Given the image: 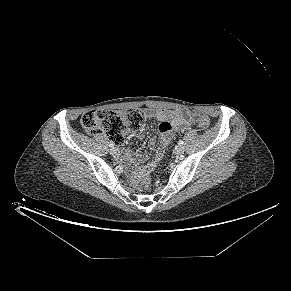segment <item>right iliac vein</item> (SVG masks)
I'll use <instances>...</instances> for the list:
<instances>
[{"label": "right iliac vein", "mask_w": 291, "mask_h": 291, "mask_svg": "<svg viewBox=\"0 0 291 291\" xmlns=\"http://www.w3.org/2000/svg\"><path fill=\"white\" fill-rule=\"evenodd\" d=\"M110 154L111 155H117L118 154V150L116 148H111L110 149Z\"/></svg>", "instance_id": "obj_1"}]
</instances>
